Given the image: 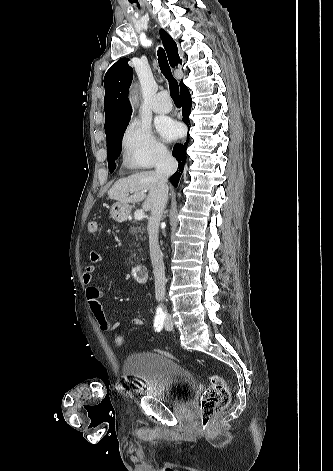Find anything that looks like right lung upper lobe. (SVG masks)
Wrapping results in <instances>:
<instances>
[{
  "label": "right lung upper lobe",
  "mask_w": 333,
  "mask_h": 471,
  "mask_svg": "<svg viewBox=\"0 0 333 471\" xmlns=\"http://www.w3.org/2000/svg\"><path fill=\"white\" fill-rule=\"evenodd\" d=\"M160 36L166 49L170 65L175 67L180 57L177 45L172 37L163 29ZM133 69L128 65V59L123 58L114 63L104 77L105 97V132L113 126L129 120L132 109L128 100V89L132 82ZM185 85L180 82V90Z\"/></svg>",
  "instance_id": "obj_1"
}]
</instances>
